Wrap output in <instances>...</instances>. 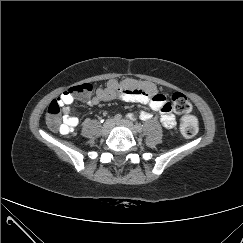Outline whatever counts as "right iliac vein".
I'll list each match as a JSON object with an SVG mask.
<instances>
[{"label": "right iliac vein", "instance_id": "obj_1", "mask_svg": "<svg viewBox=\"0 0 243 243\" xmlns=\"http://www.w3.org/2000/svg\"><path fill=\"white\" fill-rule=\"evenodd\" d=\"M114 124H115L114 119H108L102 127L103 135H107L109 133L110 129L114 126Z\"/></svg>", "mask_w": 243, "mask_h": 243}]
</instances>
